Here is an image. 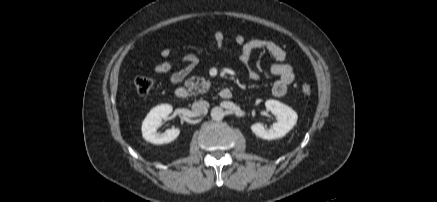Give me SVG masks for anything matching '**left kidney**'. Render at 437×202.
Segmentation results:
<instances>
[{
	"label": "left kidney",
	"instance_id": "1",
	"mask_svg": "<svg viewBox=\"0 0 437 202\" xmlns=\"http://www.w3.org/2000/svg\"><path fill=\"white\" fill-rule=\"evenodd\" d=\"M265 106L278 121L270 129L264 128L261 123L253 124L251 130L256 136L266 140L278 139L285 136L296 125L297 113L287 105L276 100H267Z\"/></svg>",
	"mask_w": 437,
	"mask_h": 202
}]
</instances>
